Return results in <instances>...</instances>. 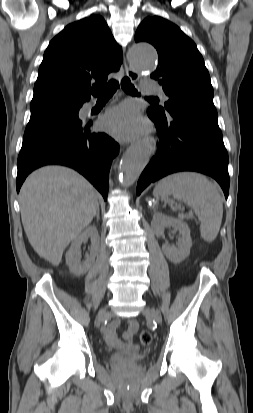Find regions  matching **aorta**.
Returning a JSON list of instances; mask_svg holds the SVG:
<instances>
[{
  "label": "aorta",
  "mask_w": 253,
  "mask_h": 413,
  "mask_svg": "<svg viewBox=\"0 0 253 413\" xmlns=\"http://www.w3.org/2000/svg\"><path fill=\"white\" fill-rule=\"evenodd\" d=\"M132 66L139 72L151 71L156 67L157 53L154 47L145 42L135 43L129 54ZM152 142L145 140L131 146L124 154L121 163V180L124 186L132 185L151 156Z\"/></svg>",
  "instance_id": "1"
}]
</instances>
